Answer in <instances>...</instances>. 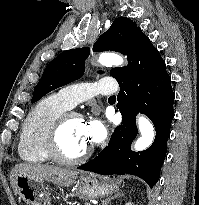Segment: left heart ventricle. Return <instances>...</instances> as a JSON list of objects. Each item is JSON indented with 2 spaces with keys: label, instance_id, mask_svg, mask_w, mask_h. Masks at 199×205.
Wrapping results in <instances>:
<instances>
[{
  "label": "left heart ventricle",
  "instance_id": "b2bd125f",
  "mask_svg": "<svg viewBox=\"0 0 199 205\" xmlns=\"http://www.w3.org/2000/svg\"><path fill=\"white\" fill-rule=\"evenodd\" d=\"M83 123L81 119L71 118L62 129L59 145L64 155L76 156L89 146L83 134Z\"/></svg>",
  "mask_w": 199,
  "mask_h": 205
}]
</instances>
